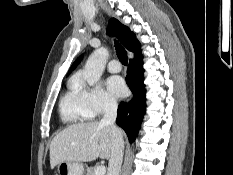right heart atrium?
Wrapping results in <instances>:
<instances>
[{
  "label": "right heart atrium",
  "instance_id": "obj_1",
  "mask_svg": "<svg viewBox=\"0 0 233 175\" xmlns=\"http://www.w3.org/2000/svg\"><path fill=\"white\" fill-rule=\"evenodd\" d=\"M79 86L92 110L93 116H100L114 111L117 106L116 98L102 86H87L77 80Z\"/></svg>",
  "mask_w": 233,
  "mask_h": 175
}]
</instances>
